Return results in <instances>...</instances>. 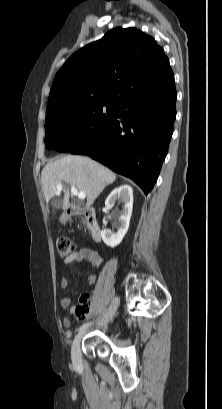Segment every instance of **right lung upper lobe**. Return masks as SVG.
Wrapping results in <instances>:
<instances>
[{"label":"right lung upper lobe","mask_w":222,"mask_h":409,"mask_svg":"<svg viewBox=\"0 0 222 409\" xmlns=\"http://www.w3.org/2000/svg\"><path fill=\"white\" fill-rule=\"evenodd\" d=\"M173 73L163 49L136 28H115L74 53L57 72L47 112L72 104L121 103L165 91Z\"/></svg>","instance_id":"obj_1"}]
</instances>
